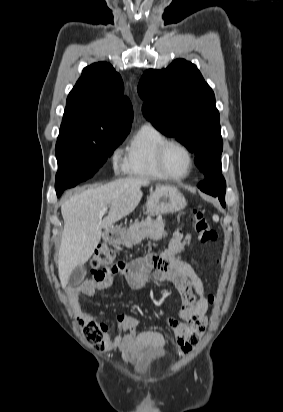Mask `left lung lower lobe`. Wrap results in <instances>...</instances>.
I'll return each mask as SVG.
<instances>
[{
  "mask_svg": "<svg viewBox=\"0 0 283 412\" xmlns=\"http://www.w3.org/2000/svg\"><path fill=\"white\" fill-rule=\"evenodd\" d=\"M224 177L221 174V160H218V162L216 163V166L214 168V170L212 172H210V175L208 176H204V180L200 182V184L198 185V187L200 188V190H202L203 192L208 193V184L213 181V182H221L224 181ZM221 204L223 207H225V197L223 198H219Z\"/></svg>",
  "mask_w": 283,
  "mask_h": 412,
  "instance_id": "1",
  "label": "left lung lower lobe"
}]
</instances>
